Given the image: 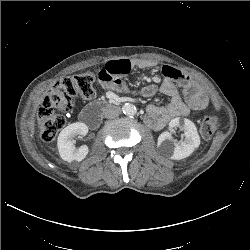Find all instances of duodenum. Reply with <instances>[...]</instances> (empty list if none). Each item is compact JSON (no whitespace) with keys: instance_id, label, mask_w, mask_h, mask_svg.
Here are the masks:
<instances>
[{"instance_id":"1","label":"duodenum","mask_w":250,"mask_h":250,"mask_svg":"<svg viewBox=\"0 0 250 250\" xmlns=\"http://www.w3.org/2000/svg\"><path fill=\"white\" fill-rule=\"evenodd\" d=\"M118 106L114 103L106 101H98L86 107L80 115L81 121L91 128L97 127L102 114L105 112L116 110Z\"/></svg>"}]
</instances>
